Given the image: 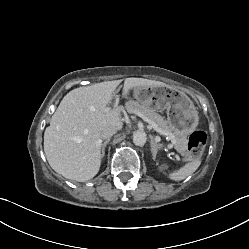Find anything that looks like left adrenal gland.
Here are the masks:
<instances>
[{"instance_id": "1", "label": "left adrenal gland", "mask_w": 249, "mask_h": 249, "mask_svg": "<svg viewBox=\"0 0 249 249\" xmlns=\"http://www.w3.org/2000/svg\"><path fill=\"white\" fill-rule=\"evenodd\" d=\"M151 141H150V144H151V152H152V156H153V159L155 160L156 159V155H157V152L158 150L160 149V147L162 146L161 144H157L155 141H154V138L151 136Z\"/></svg>"}]
</instances>
